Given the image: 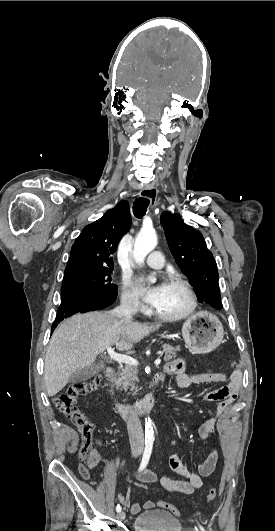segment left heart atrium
Here are the masks:
<instances>
[{
    "label": "left heart atrium",
    "mask_w": 275,
    "mask_h": 531,
    "mask_svg": "<svg viewBox=\"0 0 275 531\" xmlns=\"http://www.w3.org/2000/svg\"><path fill=\"white\" fill-rule=\"evenodd\" d=\"M164 283H159L152 288L146 289L145 288V279L141 277L138 280V287L143 292V294L146 297L147 302H149L151 305H155L161 295L162 289H163Z\"/></svg>",
    "instance_id": "obj_1"
}]
</instances>
